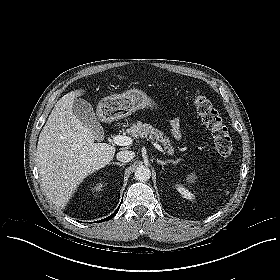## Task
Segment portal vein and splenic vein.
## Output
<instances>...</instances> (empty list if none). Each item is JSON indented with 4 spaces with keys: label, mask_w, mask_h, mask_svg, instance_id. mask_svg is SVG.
Listing matches in <instances>:
<instances>
[{
    "label": "portal vein and splenic vein",
    "mask_w": 280,
    "mask_h": 280,
    "mask_svg": "<svg viewBox=\"0 0 280 280\" xmlns=\"http://www.w3.org/2000/svg\"><path fill=\"white\" fill-rule=\"evenodd\" d=\"M113 142H114L116 145H119V146H127V145L132 144L133 140H132L131 137H128V136L116 135V136L113 137ZM153 145H154L155 148H157L159 151H161V152L164 153L163 148H162L159 144L153 143Z\"/></svg>",
    "instance_id": "1"
}]
</instances>
